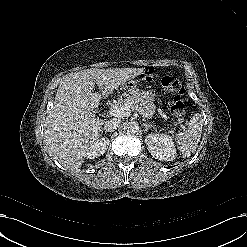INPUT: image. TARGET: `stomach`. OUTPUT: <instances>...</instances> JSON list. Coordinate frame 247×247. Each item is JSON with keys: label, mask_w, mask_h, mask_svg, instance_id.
I'll use <instances>...</instances> for the list:
<instances>
[{"label": "stomach", "mask_w": 247, "mask_h": 247, "mask_svg": "<svg viewBox=\"0 0 247 247\" xmlns=\"http://www.w3.org/2000/svg\"><path fill=\"white\" fill-rule=\"evenodd\" d=\"M136 85H137V81L129 80L128 82H126L124 85L121 86V88L126 90V92L124 93L125 98L134 96L137 93L138 90H136ZM144 95L151 101H153L156 97L155 93L151 91L144 92Z\"/></svg>", "instance_id": "stomach-1"}]
</instances>
